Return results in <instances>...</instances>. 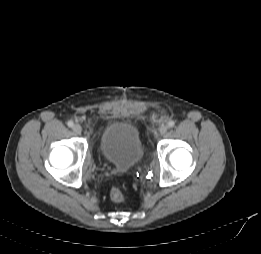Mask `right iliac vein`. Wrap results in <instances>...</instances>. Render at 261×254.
<instances>
[{"instance_id": "obj_1", "label": "right iliac vein", "mask_w": 261, "mask_h": 254, "mask_svg": "<svg viewBox=\"0 0 261 254\" xmlns=\"http://www.w3.org/2000/svg\"><path fill=\"white\" fill-rule=\"evenodd\" d=\"M72 130L75 134L80 135L82 132V127L79 124H74Z\"/></svg>"}]
</instances>
